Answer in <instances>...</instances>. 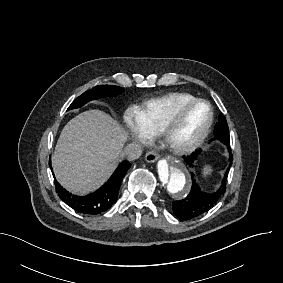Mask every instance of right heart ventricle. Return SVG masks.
Returning <instances> with one entry per match:
<instances>
[{
    "mask_svg": "<svg viewBox=\"0 0 283 283\" xmlns=\"http://www.w3.org/2000/svg\"><path fill=\"white\" fill-rule=\"evenodd\" d=\"M165 98H171L176 100L177 102L172 105H175L180 108H181V104L190 100L197 99V97L193 94L186 92H176V93H171L162 99L147 101L142 106H140L138 108V112L140 113L146 127L148 128L150 134L153 137L158 136V130H159L158 118L162 110V100Z\"/></svg>",
    "mask_w": 283,
    "mask_h": 283,
    "instance_id": "e07e8e85",
    "label": "right heart ventricle"
}]
</instances>
